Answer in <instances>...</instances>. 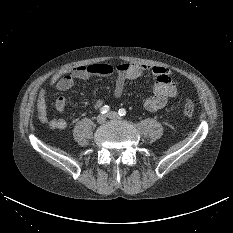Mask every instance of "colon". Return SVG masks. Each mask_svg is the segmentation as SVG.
I'll return each instance as SVG.
<instances>
[{"label":"colon","instance_id":"1","mask_svg":"<svg viewBox=\"0 0 233 233\" xmlns=\"http://www.w3.org/2000/svg\"><path fill=\"white\" fill-rule=\"evenodd\" d=\"M183 112L187 117H193L195 110H194V105L191 102V100L186 99L183 104Z\"/></svg>","mask_w":233,"mask_h":233}]
</instances>
